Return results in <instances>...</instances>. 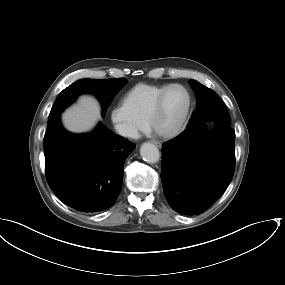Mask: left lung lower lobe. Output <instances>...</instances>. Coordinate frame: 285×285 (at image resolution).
Returning <instances> with one entry per match:
<instances>
[{
  "label": "left lung lower lobe",
  "mask_w": 285,
  "mask_h": 285,
  "mask_svg": "<svg viewBox=\"0 0 285 285\" xmlns=\"http://www.w3.org/2000/svg\"><path fill=\"white\" fill-rule=\"evenodd\" d=\"M230 125L221 122L201 146L192 141L198 124L163 145L161 180L165 197L176 212H205L230 184L235 169V131Z\"/></svg>",
  "instance_id": "left-lung-lower-lobe-1"
}]
</instances>
